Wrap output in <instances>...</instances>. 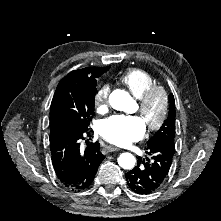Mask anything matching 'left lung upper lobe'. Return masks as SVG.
Returning <instances> with one entry per match:
<instances>
[{
    "label": "left lung upper lobe",
    "mask_w": 221,
    "mask_h": 221,
    "mask_svg": "<svg viewBox=\"0 0 221 221\" xmlns=\"http://www.w3.org/2000/svg\"><path fill=\"white\" fill-rule=\"evenodd\" d=\"M169 114L168 118L164 121L161 128L157 133L149 139L147 145L148 147L156 146L160 143L166 142L174 146L175 137V101L174 96L170 94L169 96Z\"/></svg>",
    "instance_id": "5c2ea615"
}]
</instances>
